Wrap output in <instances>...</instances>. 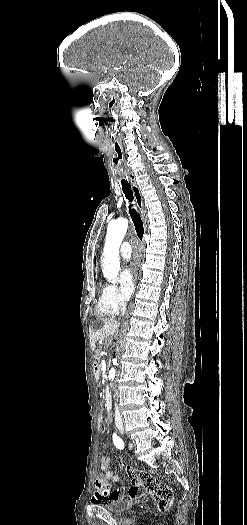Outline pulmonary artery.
Returning <instances> with one entry per match:
<instances>
[{"label": "pulmonary artery", "instance_id": "obj_1", "mask_svg": "<svg viewBox=\"0 0 247 525\" xmlns=\"http://www.w3.org/2000/svg\"><path fill=\"white\" fill-rule=\"evenodd\" d=\"M120 250H121V255H122V257H121L122 262H124V263L129 262L130 256L132 254V251L130 249V243L129 242H123L121 244Z\"/></svg>", "mask_w": 247, "mask_h": 525}]
</instances>
